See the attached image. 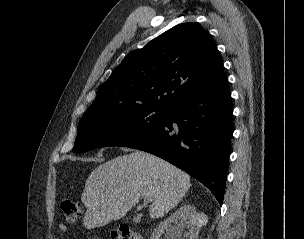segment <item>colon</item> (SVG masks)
Instances as JSON below:
<instances>
[{"label":"colon","instance_id":"5ec220e1","mask_svg":"<svg viewBox=\"0 0 304 239\" xmlns=\"http://www.w3.org/2000/svg\"><path fill=\"white\" fill-rule=\"evenodd\" d=\"M60 207L68 222H76L82 215V206L78 201L63 199ZM112 239H143L140 232L128 225H120L111 232Z\"/></svg>","mask_w":304,"mask_h":239}]
</instances>
